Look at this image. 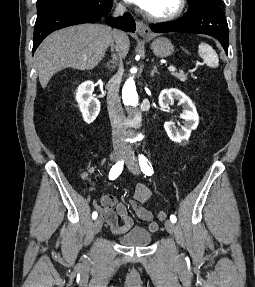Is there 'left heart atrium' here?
<instances>
[{
  "label": "left heart atrium",
  "mask_w": 255,
  "mask_h": 287,
  "mask_svg": "<svg viewBox=\"0 0 255 287\" xmlns=\"http://www.w3.org/2000/svg\"><path fill=\"white\" fill-rule=\"evenodd\" d=\"M142 5H147L149 0H138Z\"/></svg>",
  "instance_id": "1"
}]
</instances>
